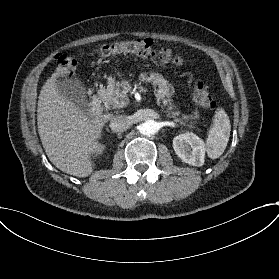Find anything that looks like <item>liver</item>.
Listing matches in <instances>:
<instances>
[{
  "mask_svg": "<svg viewBox=\"0 0 279 279\" xmlns=\"http://www.w3.org/2000/svg\"><path fill=\"white\" fill-rule=\"evenodd\" d=\"M67 72L68 65H57L40 91L38 132L49 161L63 173L84 178L93 173L91 158L111 116L104 114L89 119L63 96L58 83Z\"/></svg>",
  "mask_w": 279,
  "mask_h": 279,
  "instance_id": "obj_1",
  "label": "liver"
}]
</instances>
